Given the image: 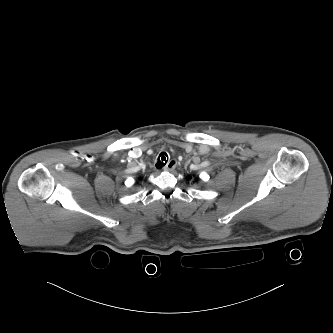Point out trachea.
<instances>
[{
    "label": "trachea",
    "instance_id": "trachea-1",
    "mask_svg": "<svg viewBox=\"0 0 333 333\" xmlns=\"http://www.w3.org/2000/svg\"><path fill=\"white\" fill-rule=\"evenodd\" d=\"M166 157H167V161H168V155L166 152H162L159 157H158V161L156 163V168L160 169L162 168L163 166H165V164L167 163L166 161ZM165 162V163H164Z\"/></svg>",
    "mask_w": 333,
    "mask_h": 333
}]
</instances>
